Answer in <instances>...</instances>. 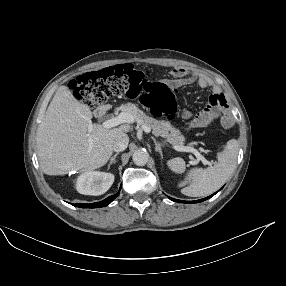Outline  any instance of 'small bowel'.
I'll use <instances>...</instances> for the list:
<instances>
[{
  "instance_id": "c3829d8e",
  "label": "small bowel",
  "mask_w": 286,
  "mask_h": 286,
  "mask_svg": "<svg viewBox=\"0 0 286 286\" xmlns=\"http://www.w3.org/2000/svg\"><path fill=\"white\" fill-rule=\"evenodd\" d=\"M170 74L171 79L168 81V84L172 91L177 92L178 88L192 83L197 84V86L202 89H212V94L209 97L207 105L198 115L212 116L210 113H214V115L222 114L225 118L228 116L229 107L223 93L214 86L212 81L206 75L190 71L185 67H175L171 70ZM180 116L183 119H189L192 117V111L182 108Z\"/></svg>"
}]
</instances>
